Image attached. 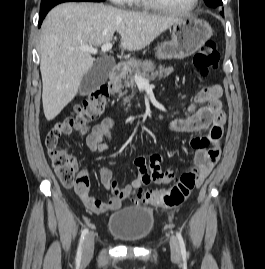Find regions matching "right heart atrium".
Returning <instances> with one entry per match:
<instances>
[{
	"instance_id": "1",
	"label": "right heart atrium",
	"mask_w": 265,
	"mask_h": 269,
	"mask_svg": "<svg viewBox=\"0 0 265 269\" xmlns=\"http://www.w3.org/2000/svg\"><path fill=\"white\" fill-rule=\"evenodd\" d=\"M115 5H125L129 2V0H110Z\"/></svg>"
}]
</instances>
